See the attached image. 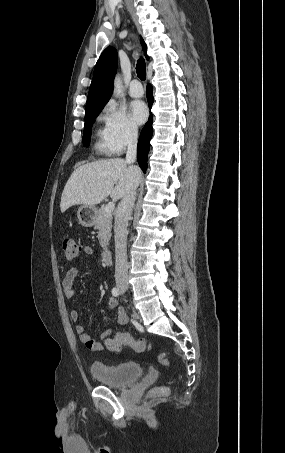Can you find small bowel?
<instances>
[{"label": "small bowel", "mask_w": 285, "mask_h": 453, "mask_svg": "<svg viewBox=\"0 0 285 453\" xmlns=\"http://www.w3.org/2000/svg\"><path fill=\"white\" fill-rule=\"evenodd\" d=\"M83 253L86 255H91L93 254V249L91 246H84L83 247ZM77 276V269L76 267H70L66 274L65 277L62 281V289L63 293L66 297L70 298L74 295V281ZM117 300L113 297H111L108 301V306L110 309L114 310L117 308ZM70 319L74 322H77L79 320V312L75 309L70 311ZM117 322L119 325H125L128 322V316L124 309H118L117 310ZM75 331L79 336V339L81 343L90 351H100L103 349L102 342L100 340H96L93 338L89 333L85 331V328L82 324H77L75 327ZM112 333L111 329H106L101 333L100 338L101 339H106L108 338Z\"/></svg>", "instance_id": "obj_1"}]
</instances>
